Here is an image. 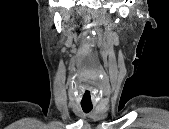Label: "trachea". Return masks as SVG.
I'll use <instances>...</instances> for the list:
<instances>
[{
  "label": "trachea",
  "mask_w": 169,
  "mask_h": 129,
  "mask_svg": "<svg viewBox=\"0 0 169 129\" xmlns=\"http://www.w3.org/2000/svg\"><path fill=\"white\" fill-rule=\"evenodd\" d=\"M82 109L85 113H89L92 110V106H84L82 105Z\"/></svg>",
  "instance_id": "trachea-1"
}]
</instances>
